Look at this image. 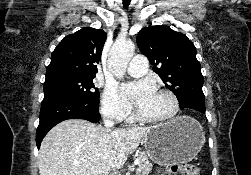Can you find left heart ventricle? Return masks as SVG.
<instances>
[{"label":"left heart ventricle","instance_id":"left-heart-ventricle-1","mask_svg":"<svg viewBox=\"0 0 251 175\" xmlns=\"http://www.w3.org/2000/svg\"><path fill=\"white\" fill-rule=\"evenodd\" d=\"M173 111V105L168 95L156 92L152 102L141 112L148 116L166 117Z\"/></svg>","mask_w":251,"mask_h":175}]
</instances>
